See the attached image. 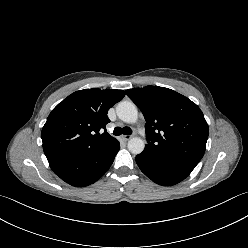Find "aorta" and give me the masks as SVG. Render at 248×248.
I'll return each mask as SVG.
<instances>
[{"label": "aorta", "instance_id": "aorta-1", "mask_svg": "<svg viewBox=\"0 0 248 248\" xmlns=\"http://www.w3.org/2000/svg\"><path fill=\"white\" fill-rule=\"evenodd\" d=\"M117 116L123 122L136 123L138 119V111L134 103L122 101L116 107ZM144 141L139 138H131L128 141V150L133 154H140L144 150Z\"/></svg>", "mask_w": 248, "mask_h": 248}]
</instances>
